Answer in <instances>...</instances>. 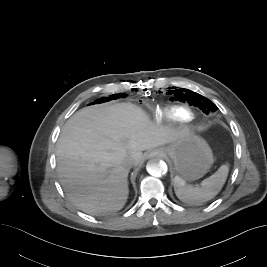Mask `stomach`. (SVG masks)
<instances>
[{
    "label": "stomach",
    "instance_id": "0dacf381",
    "mask_svg": "<svg viewBox=\"0 0 267 267\" xmlns=\"http://www.w3.org/2000/svg\"><path fill=\"white\" fill-rule=\"evenodd\" d=\"M156 152L162 157L170 158L174 170L186 180L203 177L213 164V153L208 143L187 131Z\"/></svg>",
    "mask_w": 267,
    "mask_h": 267
}]
</instances>
